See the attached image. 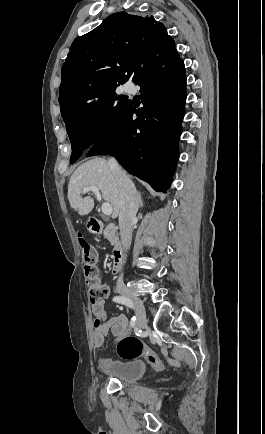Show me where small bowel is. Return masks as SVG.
I'll list each match as a JSON object with an SVG mask.
<instances>
[{"mask_svg":"<svg viewBox=\"0 0 265 434\" xmlns=\"http://www.w3.org/2000/svg\"><path fill=\"white\" fill-rule=\"evenodd\" d=\"M92 315L102 320L101 325L93 332L92 342L95 348L103 347L106 337L112 335L116 339H121L128 335V318L124 314L107 318V311L103 301H96L91 306ZM105 362H110V359H105ZM164 367L162 362V368ZM161 368V369H162Z\"/></svg>","mask_w":265,"mask_h":434,"instance_id":"1","label":"small bowel"}]
</instances>
